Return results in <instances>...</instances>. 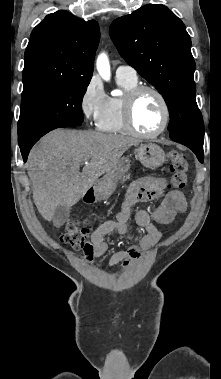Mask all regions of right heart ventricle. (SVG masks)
Returning <instances> with one entry per match:
<instances>
[{
  "instance_id": "right-heart-ventricle-1",
  "label": "right heart ventricle",
  "mask_w": 221,
  "mask_h": 379,
  "mask_svg": "<svg viewBox=\"0 0 221 379\" xmlns=\"http://www.w3.org/2000/svg\"><path fill=\"white\" fill-rule=\"evenodd\" d=\"M120 87L125 93L137 86V80L131 81L117 78ZM123 97H108L106 109L97 123V128L107 133H126L128 132L123 118Z\"/></svg>"
}]
</instances>
